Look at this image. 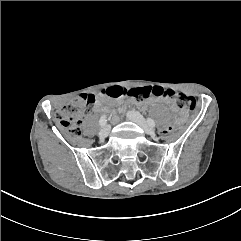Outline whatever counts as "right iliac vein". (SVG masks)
Segmentation results:
<instances>
[{"mask_svg": "<svg viewBox=\"0 0 241 241\" xmlns=\"http://www.w3.org/2000/svg\"><path fill=\"white\" fill-rule=\"evenodd\" d=\"M109 133H110V126L107 125V126L103 127V128L100 130L99 136H100L101 138H105V137H107V136L109 135Z\"/></svg>", "mask_w": 241, "mask_h": 241, "instance_id": "right-iliac-vein-1", "label": "right iliac vein"}]
</instances>
